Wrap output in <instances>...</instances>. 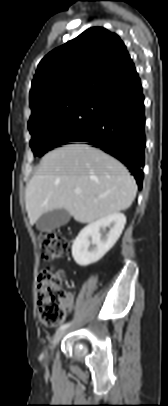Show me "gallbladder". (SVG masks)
I'll list each match as a JSON object with an SVG mask.
<instances>
[{
    "mask_svg": "<svg viewBox=\"0 0 168 406\" xmlns=\"http://www.w3.org/2000/svg\"><path fill=\"white\" fill-rule=\"evenodd\" d=\"M70 214L65 209H55L40 216L36 223V228L42 232H50L60 226L67 224Z\"/></svg>",
    "mask_w": 168,
    "mask_h": 406,
    "instance_id": "gallbladder-1",
    "label": "gallbladder"
}]
</instances>
